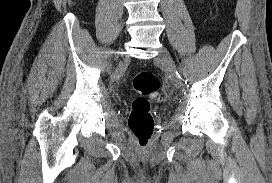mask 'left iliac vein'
<instances>
[{
  "mask_svg": "<svg viewBox=\"0 0 272 183\" xmlns=\"http://www.w3.org/2000/svg\"><path fill=\"white\" fill-rule=\"evenodd\" d=\"M156 62L162 65L165 70L169 73L172 80L174 81L176 87L181 88L183 87V82L180 80L176 75V65L175 62L170 54V52L166 48H162L160 53L156 57Z\"/></svg>",
  "mask_w": 272,
  "mask_h": 183,
  "instance_id": "obj_1",
  "label": "left iliac vein"
}]
</instances>
